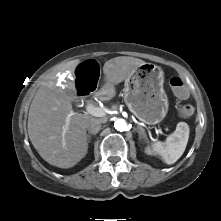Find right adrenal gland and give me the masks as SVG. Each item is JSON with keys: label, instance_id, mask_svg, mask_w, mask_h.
<instances>
[{"label": "right adrenal gland", "instance_id": "1", "mask_svg": "<svg viewBox=\"0 0 221 221\" xmlns=\"http://www.w3.org/2000/svg\"><path fill=\"white\" fill-rule=\"evenodd\" d=\"M92 135H96V133H93V134L88 133V134H87V141H88V142H90Z\"/></svg>", "mask_w": 221, "mask_h": 221}]
</instances>
